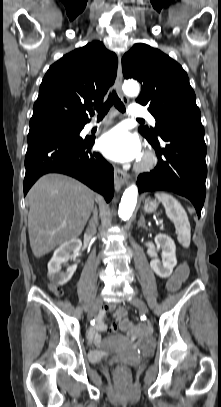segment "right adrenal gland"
<instances>
[{
	"label": "right adrenal gland",
	"instance_id": "right-adrenal-gland-1",
	"mask_svg": "<svg viewBox=\"0 0 221 407\" xmlns=\"http://www.w3.org/2000/svg\"><path fill=\"white\" fill-rule=\"evenodd\" d=\"M97 218H98V210H97V208L95 207V209H94V211H93V219L96 221Z\"/></svg>",
	"mask_w": 221,
	"mask_h": 407
}]
</instances>
